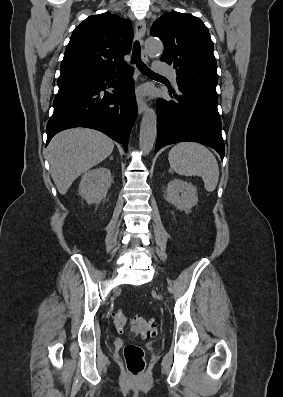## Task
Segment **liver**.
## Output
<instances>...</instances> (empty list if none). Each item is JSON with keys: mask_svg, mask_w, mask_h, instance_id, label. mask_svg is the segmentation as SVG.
Listing matches in <instances>:
<instances>
[{"mask_svg": "<svg viewBox=\"0 0 283 397\" xmlns=\"http://www.w3.org/2000/svg\"><path fill=\"white\" fill-rule=\"evenodd\" d=\"M114 143L105 134L74 128L62 131L48 145L51 177L60 194H65L82 173L106 159Z\"/></svg>", "mask_w": 283, "mask_h": 397, "instance_id": "6515ba94", "label": "liver"}]
</instances>
